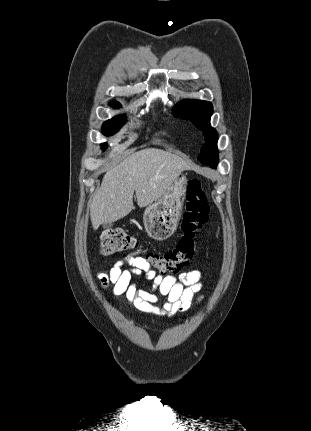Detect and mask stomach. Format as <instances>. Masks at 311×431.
Instances as JSON below:
<instances>
[{"instance_id":"stomach-1","label":"stomach","mask_w":311,"mask_h":431,"mask_svg":"<svg viewBox=\"0 0 311 431\" xmlns=\"http://www.w3.org/2000/svg\"><path fill=\"white\" fill-rule=\"evenodd\" d=\"M187 182L185 174H179L160 200L146 208L143 223L149 237L162 241L175 233L183 212Z\"/></svg>"}]
</instances>
